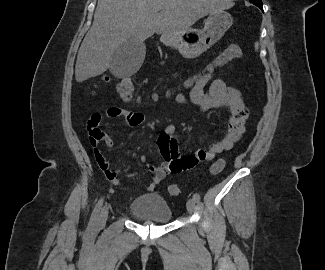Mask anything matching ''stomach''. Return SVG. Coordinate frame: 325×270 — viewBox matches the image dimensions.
I'll list each match as a JSON object with an SVG mask.
<instances>
[{
	"label": "stomach",
	"instance_id": "0dacf381",
	"mask_svg": "<svg viewBox=\"0 0 325 270\" xmlns=\"http://www.w3.org/2000/svg\"><path fill=\"white\" fill-rule=\"evenodd\" d=\"M232 25V17L226 11L212 12L202 30H188L177 36L162 35L161 41L176 48L186 58H194L208 50Z\"/></svg>",
	"mask_w": 325,
	"mask_h": 270
}]
</instances>
